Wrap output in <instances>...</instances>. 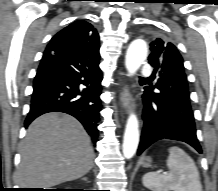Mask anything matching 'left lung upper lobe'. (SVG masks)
<instances>
[{
	"label": "left lung upper lobe",
	"instance_id": "5c2ea615",
	"mask_svg": "<svg viewBox=\"0 0 218 191\" xmlns=\"http://www.w3.org/2000/svg\"><path fill=\"white\" fill-rule=\"evenodd\" d=\"M150 46L149 63L155 67V70H159L156 87L167 97L176 96L189 101L183 59L177 48L161 38H154Z\"/></svg>",
	"mask_w": 218,
	"mask_h": 191
}]
</instances>
